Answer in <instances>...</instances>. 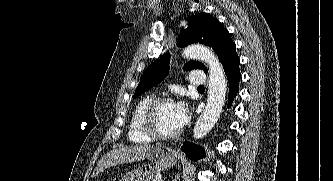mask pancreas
<instances>
[{
    "instance_id": "cf45deb5",
    "label": "pancreas",
    "mask_w": 333,
    "mask_h": 181,
    "mask_svg": "<svg viewBox=\"0 0 333 181\" xmlns=\"http://www.w3.org/2000/svg\"><path fill=\"white\" fill-rule=\"evenodd\" d=\"M152 181H160L158 178H154Z\"/></svg>"
}]
</instances>
